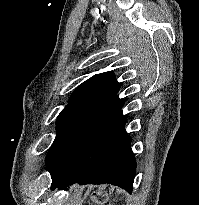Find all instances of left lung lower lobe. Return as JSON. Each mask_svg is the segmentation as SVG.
<instances>
[{
	"label": "left lung lower lobe",
	"instance_id": "left-lung-lower-lobe-1",
	"mask_svg": "<svg viewBox=\"0 0 199 205\" xmlns=\"http://www.w3.org/2000/svg\"><path fill=\"white\" fill-rule=\"evenodd\" d=\"M123 105L124 102L93 130L67 173L52 180L51 189H66L74 183H109L132 192L136 160L131 137L125 131Z\"/></svg>",
	"mask_w": 199,
	"mask_h": 205
}]
</instances>
